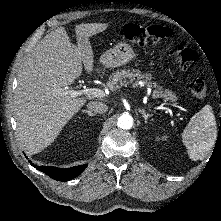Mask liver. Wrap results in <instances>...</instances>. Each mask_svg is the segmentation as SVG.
<instances>
[{"label": "liver", "instance_id": "6515ba94", "mask_svg": "<svg viewBox=\"0 0 221 221\" xmlns=\"http://www.w3.org/2000/svg\"><path fill=\"white\" fill-rule=\"evenodd\" d=\"M106 23L75 26L77 42L72 44L64 27L47 34L24 62L18 75L14 110L19 138L26 151L35 154L59 135L67 122L86 103L72 98L71 85L82 73L94 69L90 37L105 31Z\"/></svg>", "mask_w": 221, "mask_h": 221}]
</instances>
